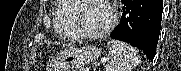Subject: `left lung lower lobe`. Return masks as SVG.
Listing matches in <instances>:
<instances>
[{
    "instance_id": "0a47b994",
    "label": "left lung lower lobe",
    "mask_w": 181,
    "mask_h": 71,
    "mask_svg": "<svg viewBox=\"0 0 181 71\" xmlns=\"http://www.w3.org/2000/svg\"><path fill=\"white\" fill-rule=\"evenodd\" d=\"M120 25L110 34L113 39L141 49L153 60L161 27L163 0H121Z\"/></svg>"
}]
</instances>
